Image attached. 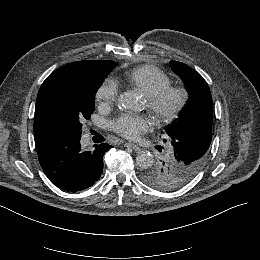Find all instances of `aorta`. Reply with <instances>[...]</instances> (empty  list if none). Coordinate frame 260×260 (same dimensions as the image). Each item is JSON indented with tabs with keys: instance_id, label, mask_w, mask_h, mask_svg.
I'll list each match as a JSON object with an SVG mask.
<instances>
[{
	"instance_id": "obj_1",
	"label": "aorta",
	"mask_w": 260,
	"mask_h": 260,
	"mask_svg": "<svg viewBox=\"0 0 260 260\" xmlns=\"http://www.w3.org/2000/svg\"><path fill=\"white\" fill-rule=\"evenodd\" d=\"M117 104L124 111H137L140 107L137 98L130 93L120 94ZM136 163L140 168L146 169L154 163V157L150 152H141L136 156Z\"/></svg>"
}]
</instances>
